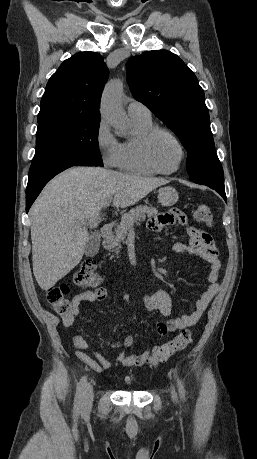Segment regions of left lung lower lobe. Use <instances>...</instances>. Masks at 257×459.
Returning <instances> with one entry per match:
<instances>
[{"label":"left lung lower lobe","mask_w":257,"mask_h":459,"mask_svg":"<svg viewBox=\"0 0 257 459\" xmlns=\"http://www.w3.org/2000/svg\"><path fill=\"white\" fill-rule=\"evenodd\" d=\"M198 184H203V185L209 186L210 188L216 190L224 198V200L226 201L227 198H226V195H225L224 185H212V184H208V183H198Z\"/></svg>","instance_id":"1"}]
</instances>
